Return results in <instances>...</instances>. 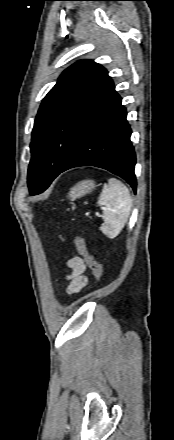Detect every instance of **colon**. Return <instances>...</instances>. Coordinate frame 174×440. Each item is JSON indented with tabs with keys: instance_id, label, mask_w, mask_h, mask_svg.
Returning a JSON list of instances; mask_svg holds the SVG:
<instances>
[{
	"instance_id": "obj_1",
	"label": "colon",
	"mask_w": 174,
	"mask_h": 440,
	"mask_svg": "<svg viewBox=\"0 0 174 440\" xmlns=\"http://www.w3.org/2000/svg\"><path fill=\"white\" fill-rule=\"evenodd\" d=\"M73 242L78 253L84 259L87 267L90 269L95 279L100 281L103 277L102 266L89 253L85 240L79 235H74Z\"/></svg>"
}]
</instances>
